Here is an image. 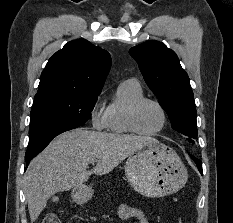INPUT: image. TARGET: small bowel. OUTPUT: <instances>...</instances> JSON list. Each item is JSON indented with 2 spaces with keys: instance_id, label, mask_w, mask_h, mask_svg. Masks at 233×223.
Here are the masks:
<instances>
[{
  "instance_id": "small-bowel-1",
  "label": "small bowel",
  "mask_w": 233,
  "mask_h": 223,
  "mask_svg": "<svg viewBox=\"0 0 233 223\" xmlns=\"http://www.w3.org/2000/svg\"><path fill=\"white\" fill-rule=\"evenodd\" d=\"M118 217L121 220L135 219L137 223H151L144 212L136 207L122 203L118 207Z\"/></svg>"
}]
</instances>
